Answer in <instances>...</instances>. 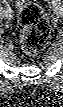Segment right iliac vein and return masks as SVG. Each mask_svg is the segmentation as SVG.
I'll return each mask as SVG.
<instances>
[{
    "label": "right iliac vein",
    "mask_w": 63,
    "mask_h": 107,
    "mask_svg": "<svg viewBox=\"0 0 63 107\" xmlns=\"http://www.w3.org/2000/svg\"><path fill=\"white\" fill-rule=\"evenodd\" d=\"M1 15H5L7 20L12 19V12L2 11Z\"/></svg>",
    "instance_id": "63e3f726"
}]
</instances>
